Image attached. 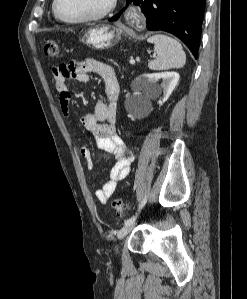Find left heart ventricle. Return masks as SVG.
Listing matches in <instances>:
<instances>
[{
    "instance_id": "1",
    "label": "left heart ventricle",
    "mask_w": 247,
    "mask_h": 299,
    "mask_svg": "<svg viewBox=\"0 0 247 299\" xmlns=\"http://www.w3.org/2000/svg\"><path fill=\"white\" fill-rule=\"evenodd\" d=\"M108 0H59L57 9L66 19H77L99 12Z\"/></svg>"
}]
</instances>
